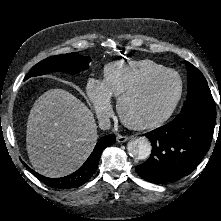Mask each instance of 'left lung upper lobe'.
<instances>
[{
  "mask_svg": "<svg viewBox=\"0 0 221 221\" xmlns=\"http://www.w3.org/2000/svg\"><path fill=\"white\" fill-rule=\"evenodd\" d=\"M185 64L187 67L188 91L181 111L196 102L215 103L203 74L191 63L186 61Z\"/></svg>",
  "mask_w": 221,
  "mask_h": 221,
  "instance_id": "5c2ea615",
  "label": "left lung upper lobe"
}]
</instances>
